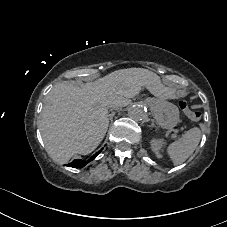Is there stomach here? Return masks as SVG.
<instances>
[{
    "instance_id": "obj_1",
    "label": "stomach",
    "mask_w": 227,
    "mask_h": 227,
    "mask_svg": "<svg viewBox=\"0 0 227 227\" xmlns=\"http://www.w3.org/2000/svg\"><path fill=\"white\" fill-rule=\"evenodd\" d=\"M147 101L159 126L164 129H170L178 124L179 109L176 105L155 98H150Z\"/></svg>"
}]
</instances>
